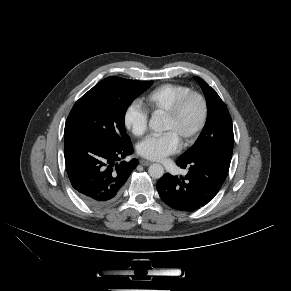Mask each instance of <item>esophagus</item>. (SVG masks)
Here are the masks:
<instances>
[{"instance_id": "obj_1", "label": "esophagus", "mask_w": 291, "mask_h": 291, "mask_svg": "<svg viewBox=\"0 0 291 291\" xmlns=\"http://www.w3.org/2000/svg\"><path fill=\"white\" fill-rule=\"evenodd\" d=\"M140 164H141L142 166H149V165L151 164V162L148 161V160L141 159V160H140Z\"/></svg>"}]
</instances>
